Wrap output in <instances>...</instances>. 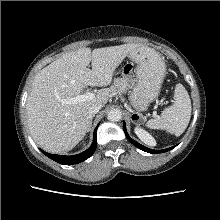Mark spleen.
I'll list each match as a JSON object with an SVG mask.
<instances>
[{"mask_svg": "<svg viewBox=\"0 0 220 220\" xmlns=\"http://www.w3.org/2000/svg\"><path fill=\"white\" fill-rule=\"evenodd\" d=\"M174 100L175 103L165 108L160 117L146 123L148 128L166 130L175 136H180L185 131L191 117V100L180 83L175 87Z\"/></svg>", "mask_w": 220, "mask_h": 220, "instance_id": "obj_1", "label": "spleen"}]
</instances>
